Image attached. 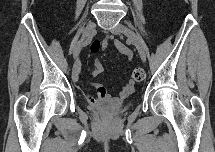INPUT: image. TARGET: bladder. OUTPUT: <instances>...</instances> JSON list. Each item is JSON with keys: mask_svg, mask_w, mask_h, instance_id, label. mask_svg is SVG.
Masks as SVG:
<instances>
[{"mask_svg": "<svg viewBox=\"0 0 215 152\" xmlns=\"http://www.w3.org/2000/svg\"><path fill=\"white\" fill-rule=\"evenodd\" d=\"M128 107H129L128 104H124V105H122L121 110H125V109H127Z\"/></svg>", "mask_w": 215, "mask_h": 152, "instance_id": "bladder-1", "label": "bladder"}]
</instances>
